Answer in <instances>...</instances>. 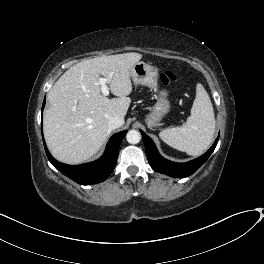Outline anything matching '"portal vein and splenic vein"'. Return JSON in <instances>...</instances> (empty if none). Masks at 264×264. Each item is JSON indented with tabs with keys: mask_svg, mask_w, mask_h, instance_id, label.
Returning a JSON list of instances; mask_svg holds the SVG:
<instances>
[{
	"mask_svg": "<svg viewBox=\"0 0 264 264\" xmlns=\"http://www.w3.org/2000/svg\"><path fill=\"white\" fill-rule=\"evenodd\" d=\"M108 79L107 78H99L98 84L101 86V92L104 96L109 95V87L107 85Z\"/></svg>",
	"mask_w": 264,
	"mask_h": 264,
	"instance_id": "obj_1",
	"label": "portal vein and splenic vein"
}]
</instances>
